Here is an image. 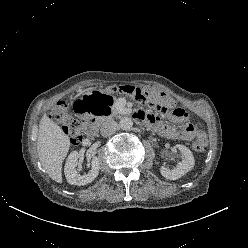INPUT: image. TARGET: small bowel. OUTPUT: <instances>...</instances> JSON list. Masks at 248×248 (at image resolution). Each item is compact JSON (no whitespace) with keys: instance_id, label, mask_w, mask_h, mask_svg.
<instances>
[{"instance_id":"1","label":"small bowel","mask_w":248,"mask_h":248,"mask_svg":"<svg viewBox=\"0 0 248 248\" xmlns=\"http://www.w3.org/2000/svg\"><path fill=\"white\" fill-rule=\"evenodd\" d=\"M143 120H146L154 129L159 131L163 136L171 139H180L184 141H191L193 139H203L206 140V135L204 132L197 130L194 126L182 119L183 122L181 129L173 128L169 125H163L159 122V119L151 114L145 115L143 112L139 111Z\"/></svg>"}]
</instances>
